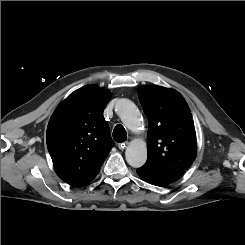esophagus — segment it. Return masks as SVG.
<instances>
[{
    "label": "esophagus",
    "instance_id": "esophagus-1",
    "mask_svg": "<svg viewBox=\"0 0 245 245\" xmlns=\"http://www.w3.org/2000/svg\"><path fill=\"white\" fill-rule=\"evenodd\" d=\"M128 146V142H122L118 144L120 150H124Z\"/></svg>",
    "mask_w": 245,
    "mask_h": 245
}]
</instances>
